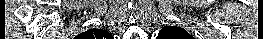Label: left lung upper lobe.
I'll return each instance as SVG.
<instances>
[{
    "mask_svg": "<svg viewBox=\"0 0 263 39\" xmlns=\"http://www.w3.org/2000/svg\"><path fill=\"white\" fill-rule=\"evenodd\" d=\"M158 39H194L187 31H185L181 27L177 26H165L163 27L159 35Z\"/></svg>",
    "mask_w": 263,
    "mask_h": 39,
    "instance_id": "left-lung-upper-lobe-1",
    "label": "left lung upper lobe"
}]
</instances>
